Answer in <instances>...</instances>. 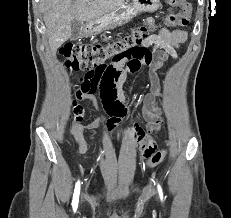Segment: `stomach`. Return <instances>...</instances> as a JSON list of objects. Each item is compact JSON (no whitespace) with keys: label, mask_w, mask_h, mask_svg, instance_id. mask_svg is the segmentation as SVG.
<instances>
[{"label":"stomach","mask_w":231,"mask_h":218,"mask_svg":"<svg viewBox=\"0 0 231 218\" xmlns=\"http://www.w3.org/2000/svg\"><path fill=\"white\" fill-rule=\"evenodd\" d=\"M160 7V0H127L109 16L96 19L86 26V34H99L106 28L120 26L129 22L142 12H154Z\"/></svg>","instance_id":"stomach-1"}]
</instances>
